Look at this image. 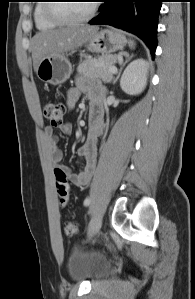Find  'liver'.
Segmentation results:
<instances>
[{
  "label": "liver",
  "instance_id": "obj_1",
  "mask_svg": "<svg viewBox=\"0 0 195 299\" xmlns=\"http://www.w3.org/2000/svg\"><path fill=\"white\" fill-rule=\"evenodd\" d=\"M98 27L80 25L37 33L32 39V59L37 73L40 62L48 56L61 55L85 44Z\"/></svg>",
  "mask_w": 195,
  "mask_h": 299
}]
</instances>
